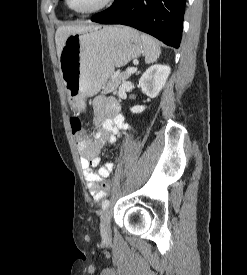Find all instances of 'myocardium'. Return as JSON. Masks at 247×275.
Instances as JSON below:
<instances>
[{
    "instance_id": "1",
    "label": "myocardium",
    "mask_w": 247,
    "mask_h": 275,
    "mask_svg": "<svg viewBox=\"0 0 247 275\" xmlns=\"http://www.w3.org/2000/svg\"><path fill=\"white\" fill-rule=\"evenodd\" d=\"M114 1L115 0H103L97 6L91 8V9H88V10H84V11L73 9L69 4V0H65V4H66L67 8L70 11H72L73 13H76V14H79V15H89V14L97 13L99 11H102V10L106 9L107 7L111 6Z\"/></svg>"
}]
</instances>
